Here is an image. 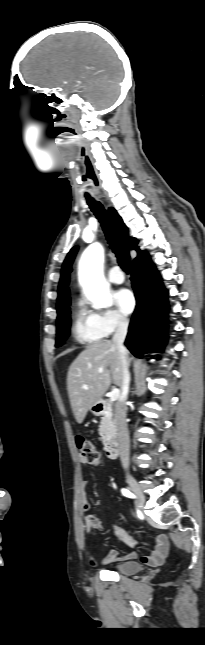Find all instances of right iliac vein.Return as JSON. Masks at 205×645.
Returning a JSON list of instances; mask_svg holds the SVG:
<instances>
[{"instance_id": "right-iliac-vein-1", "label": "right iliac vein", "mask_w": 205, "mask_h": 645, "mask_svg": "<svg viewBox=\"0 0 205 645\" xmlns=\"http://www.w3.org/2000/svg\"><path fill=\"white\" fill-rule=\"evenodd\" d=\"M126 479H127L128 484H129L130 490L136 496V502H137V505H138L139 509H142L143 505H144V495H143L139 485L137 484V482L135 481V479L131 475H127Z\"/></svg>"}]
</instances>
